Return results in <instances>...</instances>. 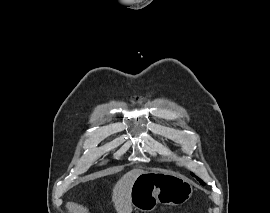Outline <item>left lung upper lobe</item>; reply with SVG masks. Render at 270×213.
Listing matches in <instances>:
<instances>
[{"instance_id":"left-lung-upper-lobe-1","label":"left lung upper lobe","mask_w":270,"mask_h":213,"mask_svg":"<svg viewBox=\"0 0 270 213\" xmlns=\"http://www.w3.org/2000/svg\"><path fill=\"white\" fill-rule=\"evenodd\" d=\"M192 176L196 177L194 174H192ZM196 178L200 181L201 184H203V182L198 177Z\"/></svg>"}]
</instances>
